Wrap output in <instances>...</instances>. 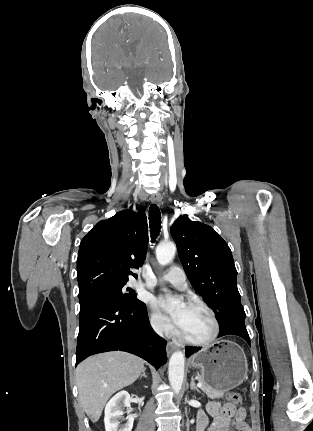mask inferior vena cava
<instances>
[{"label": "inferior vena cava", "mask_w": 313, "mask_h": 431, "mask_svg": "<svg viewBox=\"0 0 313 431\" xmlns=\"http://www.w3.org/2000/svg\"><path fill=\"white\" fill-rule=\"evenodd\" d=\"M154 330L157 334L162 335L163 332V324L160 322H157L153 325Z\"/></svg>", "instance_id": "1"}]
</instances>
